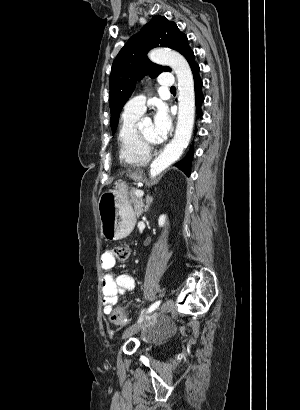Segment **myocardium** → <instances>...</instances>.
Instances as JSON below:
<instances>
[{"instance_id": "1", "label": "myocardium", "mask_w": 300, "mask_h": 410, "mask_svg": "<svg viewBox=\"0 0 300 410\" xmlns=\"http://www.w3.org/2000/svg\"><path fill=\"white\" fill-rule=\"evenodd\" d=\"M137 134H138V138L141 142V144L146 148V149H152L154 147L157 146V142H153L151 140H149L141 131V128L137 127Z\"/></svg>"}]
</instances>
